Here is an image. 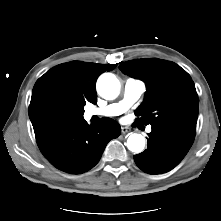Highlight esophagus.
<instances>
[{
	"instance_id": "obj_1",
	"label": "esophagus",
	"mask_w": 221,
	"mask_h": 221,
	"mask_svg": "<svg viewBox=\"0 0 221 221\" xmlns=\"http://www.w3.org/2000/svg\"><path fill=\"white\" fill-rule=\"evenodd\" d=\"M121 131L123 134L129 133L131 129L129 127L123 126L121 127Z\"/></svg>"
}]
</instances>
